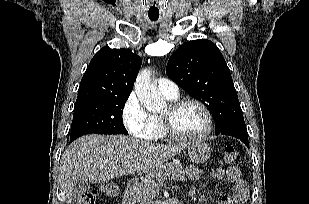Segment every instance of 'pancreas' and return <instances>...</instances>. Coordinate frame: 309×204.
I'll use <instances>...</instances> for the list:
<instances>
[{
    "mask_svg": "<svg viewBox=\"0 0 309 204\" xmlns=\"http://www.w3.org/2000/svg\"><path fill=\"white\" fill-rule=\"evenodd\" d=\"M184 181L185 172L180 165L167 163L145 176L136 185L134 199L139 204H146V201L154 198L160 185L167 180Z\"/></svg>",
    "mask_w": 309,
    "mask_h": 204,
    "instance_id": "1",
    "label": "pancreas"
}]
</instances>
